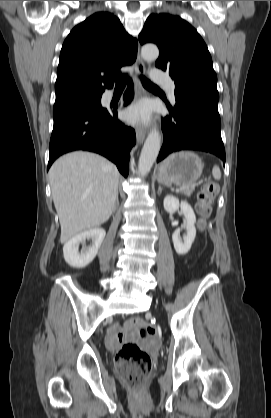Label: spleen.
<instances>
[{
    "label": "spleen",
    "instance_id": "1",
    "mask_svg": "<svg viewBox=\"0 0 271 418\" xmlns=\"http://www.w3.org/2000/svg\"><path fill=\"white\" fill-rule=\"evenodd\" d=\"M212 174L216 180H219L221 178L220 168L218 166H214L212 169Z\"/></svg>",
    "mask_w": 271,
    "mask_h": 418
}]
</instances>
